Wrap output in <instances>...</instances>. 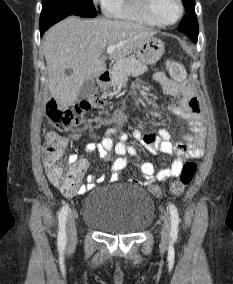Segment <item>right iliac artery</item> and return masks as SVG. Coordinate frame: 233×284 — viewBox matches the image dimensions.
Wrapping results in <instances>:
<instances>
[{
    "mask_svg": "<svg viewBox=\"0 0 233 284\" xmlns=\"http://www.w3.org/2000/svg\"><path fill=\"white\" fill-rule=\"evenodd\" d=\"M68 210V205H64L59 212L58 247L60 250H64L66 246L65 223L68 215Z\"/></svg>",
    "mask_w": 233,
    "mask_h": 284,
    "instance_id": "82829eb1",
    "label": "right iliac artery"
}]
</instances>
